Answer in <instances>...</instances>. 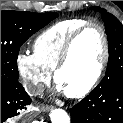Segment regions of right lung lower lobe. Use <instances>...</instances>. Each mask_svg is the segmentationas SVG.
Wrapping results in <instances>:
<instances>
[{
    "label": "right lung lower lobe",
    "instance_id": "98d812e1",
    "mask_svg": "<svg viewBox=\"0 0 123 123\" xmlns=\"http://www.w3.org/2000/svg\"><path fill=\"white\" fill-rule=\"evenodd\" d=\"M30 102L29 95L19 82L14 84L1 83V123L19 115Z\"/></svg>",
    "mask_w": 123,
    "mask_h": 123
}]
</instances>
